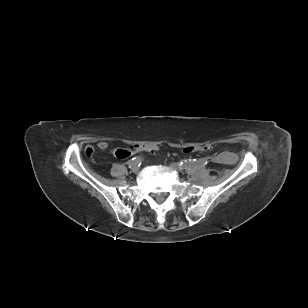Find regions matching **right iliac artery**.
<instances>
[{
    "label": "right iliac artery",
    "instance_id": "obj_1",
    "mask_svg": "<svg viewBox=\"0 0 308 308\" xmlns=\"http://www.w3.org/2000/svg\"><path fill=\"white\" fill-rule=\"evenodd\" d=\"M142 162V157L138 156V157H134L132 158L129 162H128V166L129 168H133L136 166H140Z\"/></svg>",
    "mask_w": 308,
    "mask_h": 308
}]
</instances>
